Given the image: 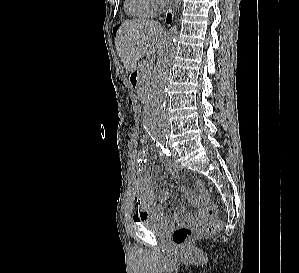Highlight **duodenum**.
<instances>
[{
	"label": "duodenum",
	"instance_id": "1",
	"mask_svg": "<svg viewBox=\"0 0 299 273\" xmlns=\"http://www.w3.org/2000/svg\"><path fill=\"white\" fill-rule=\"evenodd\" d=\"M130 80H131L132 85L135 87V83H136V80H137V71H133L131 73Z\"/></svg>",
	"mask_w": 299,
	"mask_h": 273
}]
</instances>
